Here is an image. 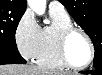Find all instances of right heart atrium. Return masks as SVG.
I'll list each match as a JSON object with an SVG mask.
<instances>
[{
    "label": "right heart atrium",
    "instance_id": "d8ad5b80",
    "mask_svg": "<svg viewBox=\"0 0 102 75\" xmlns=\"http://www.w3.org/2000/svg\"><path fill=\"white\" fill-rule=\"evenodd\" d=\"M40 26L31 11H26L14 30V38L20 53L27 59L33 60L39 46Z\"/></svg>",
    "mask_w": 102,
    "mask_h": 75
}]
</instances>
